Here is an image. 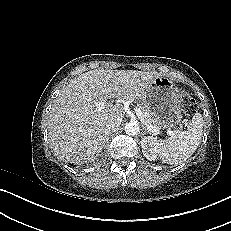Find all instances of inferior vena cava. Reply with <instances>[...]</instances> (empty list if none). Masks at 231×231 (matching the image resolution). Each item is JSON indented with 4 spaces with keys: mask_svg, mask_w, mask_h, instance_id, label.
Here are the masks:
<instances>
[{
    "mask_svg": "<svg viewBox=\"0 0 231 231\" xmlns=\"http://www.w3.org/2000/svg\"><path fill=\"white\" fill-rule=\"evenodd\" d=\"M120 124H121V121L118 119H113V120L108 121L106 125L108 133L116 131V129L119 127Z\"/></svg>",
    "mask_w": 231,
    "mask_h": 231,
    "instance_id": "obj_1",
    "label": "inferior vena cava"
}]
</instances>
